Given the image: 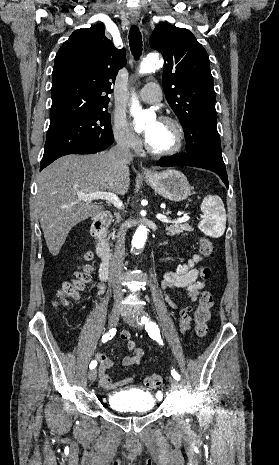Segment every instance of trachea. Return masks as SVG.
<instances>
[{"label": "trachea", "mask_w": 279, "mask_h": 465, "mask_svg": "<svg viewBox=\"0 0 279 465\" xmlns=\"http://www.w3.org/2000/svg\"><path fill=\"white\" fill-rule=\"evenodd\" d=\"M129 45L135 58L142 54V36L137 26H132L129 32Z\"/></svg>", "instance_id": "obj_1"}]
</instances>
